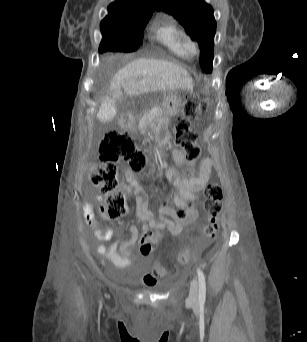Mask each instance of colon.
I'll return each instance as SVG.
<instances>
[{"instance_id": "1", "label": "colon", "mask_w": 307, "mask_h": 342, "mask_svg": "<svg viewBox=\"0 0 307 342\" xmlns=\"http://www.w3.org/2000/svg\"><path fill=\"white\" fill-rule=\"evenodd\" d=\"M205 109V103L187 98L183 105V116L174 125L175 144L183 152L188 164H194L201 156V148L196 142L192 124ZM97 154L102 164H94L89 168V179L104 196L102 202L105 209L104 216L118 220L126 214L127 205L124 195L118 190L116 165L123 164L134 172L146 174V157L138 143L124 131H111L104 135ZM204 193L203 207L207 214V222L204 224L203 232L209 239H215L219 229L218 217L222 210V187L218 183L210 182L205 186ZM157 240L154 230H145L139 241L141 256H150L153 249L151 242ZM189 259L190 255L187 251L180 252L178 255V261L185 266L191 264ZM166 272L164 266L158 265L153 273L143 277V283L146 286H155Z\"/></svg>"}]
</instances>
